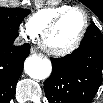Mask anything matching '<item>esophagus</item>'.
Returning a JSON list of instances; mask_svg holds the SVG:
<instances>
[{
	"label": "esophagus",
	"mask_w": 103,
	"mask_h": 103,
	"mask_svg": "<svg viewBox=\"0 0 103 103\" xmlns=\"http://www.w3.org/2000/svg\"><path fill=\"white\" fill-rule=\"evenodd\" d=\"M36 52H37L36 48H35V47H32V48H31V53H36Z\"/></svg>",
	"instance_id": "esophagus-1"
}]
</instances>
